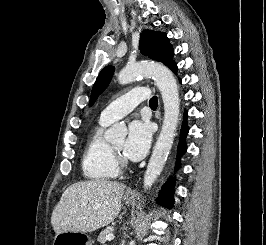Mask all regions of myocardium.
I'll list each match as a JSON object with an SVG mask.
<instances>
[{
    "mask_svg": "<svg viewBox=\"0 0 266 245\" xmlns=\"http://www.w3.org/2000/svg\"><path fill=\"white\" fill-rule=\"evenodd\" d=\"M109 146H110V152H111V156H112V158H113V161H114V163L117 165V167L120 169H122V168H127V166H128V163L126 162V160L121 156V154L118 152V151H116L113 147H112V145H110L109 144Z\"/></svg>",
    "mask_w": 266,
    "mask_h": 245,
    "instance_id": "myocardium-1",
    "label": "myocardium"
}]
</instances>
